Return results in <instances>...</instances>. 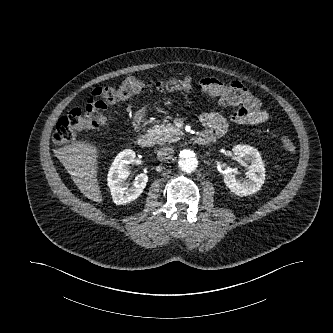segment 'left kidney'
Masks as SVG:
<instances>
[{"label":"left kidney","mask_w":333,"mask_h":333,"mask_svg":"<svg viewBox=\"0 0 333 333\" xmlns=\"http://www.w3.org/2000/svg\"><path fill=\"white\" fill-rule=\"evenodd\" d=\"M237 160L248 165L246 179L239 180L233 173H227L224 176V183L231 192L238 196H247L257 192L265 180V168L257 149L248 145H236L232 149Z\"/></svg>","instance_id":"1"}]
</instances>
